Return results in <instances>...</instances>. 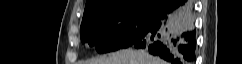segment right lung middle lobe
<instances>
[{
  "label": "right lung middle lobe",
  "instance_id": "obj_1",
  "mask_svg": "<svg viewBox=\"0 0 242 64\" xmlns=\"http://www.w3.org/2000/svg\"><path fill=\"white\" fill-rule=\"evenodd\" d=\"M158 10L134 8L94 16L81 24L82 43L95 46L99 53L129 47L157 20Z\"/></svg>",
  "mask_w": 242,
  "mask_h": 64
}]
</instances>
